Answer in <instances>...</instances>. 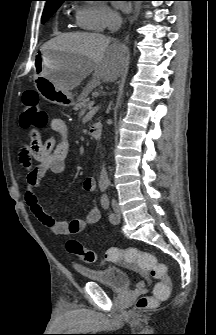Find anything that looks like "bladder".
<instances>
[{
	"mask_svg": "<svg viewBox=\"0 0 216 335\" xmlns=\"http://www.w3.org/2000/svg\"><path fill=\"white\" fill-rule=\"evenodd\" d=\"M75 270L87 280L103 284L111 290H128L131 286L130 273L115 267L98 269L77 267Z\"/></svg>",
	"mask_w": 216,
	"mask_h": 335,
	"instance_id": "31cf9c89",
	"label": "bladder"
}]
</instances>
